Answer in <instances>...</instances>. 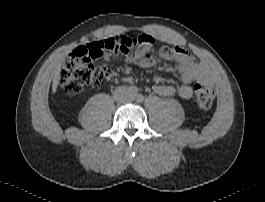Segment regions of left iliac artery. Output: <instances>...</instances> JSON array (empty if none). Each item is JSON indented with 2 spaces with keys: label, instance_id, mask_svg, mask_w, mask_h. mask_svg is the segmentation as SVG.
Segmentation results:
<instances>
[{
  "label": "left iliac artery",
  "instance_id": "left-iliac-artery-1",
  "mask_svg": "<svg viewBox=\"0 0 265 202\" xmlns=\"http://www.w3.org/2000/svg\"><path fill=\"white\" fill-rule=\"evenodd\" d=\"M143 99H144L143 95L139 94V95L137 96V100H138L139 102H142Z\"/></svg>",
  "mask_w": 265,
  "mask_h": 202
}]
</instances>
